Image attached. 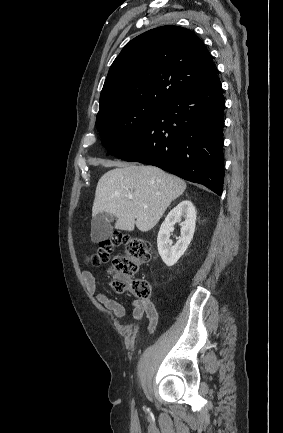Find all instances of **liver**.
<instances>
[{"label": "liver", "mask_w": 283, "mask_h": 433, "mask_svg": "<svg viewBox=\"0 0 283 433\" xmlns=\"http://www.w3.org/2000/svg\"><path fill=\"white\" fill-rule=\"evenodd\" d=\"M97 182L92 214L109 212L117 217L114 229L146 233L160 221L170 202L180 196L186 182L158 166L113 162ZM133 196V198H128Z\"/></svg>", "instance_id": "1"}]
</instances>
